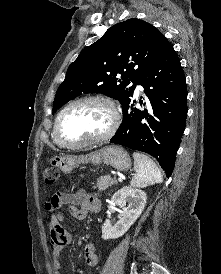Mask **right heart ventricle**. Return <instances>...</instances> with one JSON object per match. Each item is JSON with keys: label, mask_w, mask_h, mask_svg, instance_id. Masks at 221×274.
I'll use <instances>...</instances> for the list:
<instances>
[{"label": "right heart ventricle", "mask_w": 221, "mask_h": 274, "mask_svg": "<svg viewBox=\"0 0 221 274\" xmlns=\"http://www.w3.org/2000/svg\"><path fill=\"white\" fill-rule=\"evenodd\" d=\"M53 140H54V142H55L57 145H60V144L58 143V141L56 140V138H55L54 130H53Z\"/></svg>", "instance_id": "1"}]
</instances>
